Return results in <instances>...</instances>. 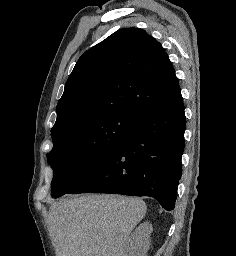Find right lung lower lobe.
<instances>
[{"label":"right lung lower lobe","mask_w":236,"mask_h":256,"mask_svg":"<svg viewBox=\"0 0 236 256\" xmlns=\"http://www.w3.org/2000/svg\"><path fill=\"white\" fill-rule=\"evenodd\" d=\"M185 113L181 92L139 119L125 138L67 193L150 196L173 210L182 174Z\"/></svg>","instance_id":"right-lung-lower-lobe-1"}]
</instances>
